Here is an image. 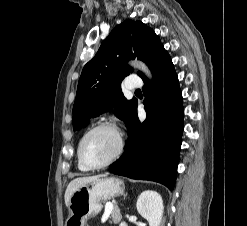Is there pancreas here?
<instances>
[{"mask_svg": "<svg viewBox=\"0 0 247 226\" xmlns=\"http://www.w3.org/2000/svg\"><path fill=\"white\" fill-rule=\"evenodd\" d=\"M117 213H118V209L117 207H115L112 212H111V217H110V222H115L117 221Z\"/></svg>", "mask_w": 247, "mask_h": 226, "instance_id": "obj_1", "label": "pancreas"}]
</instances>
